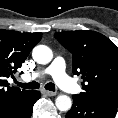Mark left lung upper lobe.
Masks as SVG:
<instances>
[{
	"label": "left lung upper lobe",
	"instance_id": "5c2ea615",
	"mask_svg": "<svg viewBox=\"0 0 118 118\" xmlns=\"http://www.w3.org/2000/svg\"><path fill=\"white\" fill-rule=\"evenodd\" d=\"M54 36L72 53L73 74L83 79L84 91L76 96L118 108V47L94 31H66Z\"/></svg>",
	"mask_w": 118,
	"mask_h": 118
}]
</instances>
